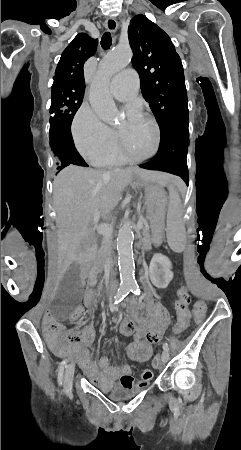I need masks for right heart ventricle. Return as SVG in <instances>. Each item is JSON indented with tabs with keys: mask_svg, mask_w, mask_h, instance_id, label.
Returning a JSON list of instances; mask_svg holds the SVG:
<instances>
[{
	"mask_svg": "<svg viewBox=\"0 0 241 450\" xmlns=\"http://www.w3.org/2000/svg\"><path fill=\"white\" fill-rule=\"evenodd\" d=\"M109 141L113 146V150L106 156L100 159H89L88 162L95 166H118L125 163L128 158L119 157V143L118 141ZM127 153V152H126Z\"/></svg>",
	"mask_w": 241,
	"mask_h": 450,
	"instance_id": "obj_1",
	"label": "right heart ventricle"
}]
</instances>
